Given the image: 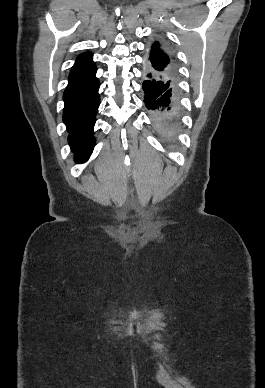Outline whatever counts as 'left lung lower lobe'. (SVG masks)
Here are the masks:
<instances>
[{
    "instance_id": "obj_1",
    "label": "left lung lower lobe",
    "mask_w": 265,
    "mask_h": 388,
    "mask_svg": "<svg viewBox=\"0 0 265 388\" xmlns=\"http://www.w3.org/2000/svg\"><path fill=\"white\" fill-rule=\"evenodd\" d=\"M177 78L170 73L145 65L144 103L151 113L157 132L170 138L180 119Z\"/></svg>"
}]
</instances>
